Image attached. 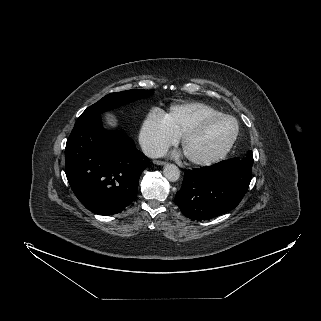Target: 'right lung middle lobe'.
I'll list each match as a JSON object with an SVG mask.
<instances>
[{
  "label": "right lung middle lobe",
  "mask_w": 321,
  "mask_h": 321,
  "mask_svg": "<svg viewBox=\"0 0 321 321\" xmlns=\"http://www.w3.org/2000/svg\"><path fill=\"white\" fill-rule=\"evenodd\" d=\"M153 94L151 90L132 89L117 93H110L100 99L98 102L88 107L77 120L85 118H93L100 116L101 113L111 110L115 107L121 106L128 102L146 98Z\"/></svg>",
  "instance_id": "right-lung-middle-lobe-1"
}]
</instances>
